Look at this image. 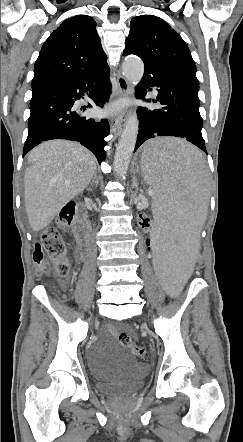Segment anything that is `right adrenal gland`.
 Returning a JSON list of instances; mask_svg holds the SVG:
<instances>
[{"label": "right adrenal gland", "instance_id": "1", "mask_svg": "<svg viewBox=\"0 0 243 442\" xmlns=\"http://www.w3.org/2000/svg\"><path fill=\"white\" fill-rule=\"evenodd\" d=\"M98 183H99V180H98L97 170H95L94 176H93V178L91 180V186L97 187Z\"/></svg>", "mask_w": 243, "mask_h": 442}]
</instances>
